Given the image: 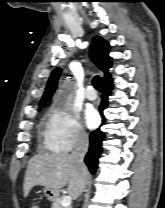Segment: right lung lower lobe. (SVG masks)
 Instances as JSON below:
<instances>
[{"mask_svg": "<svg viewBox=\"0 0 165 208\" xmlns=\"http://www.w3.org/2000/svg\"><path fill=\"white\" fill-rule=\"evenodd\" d=\"M102 87H103V94H102V101L99 107V111L101 113V116L103 117V123H102L103 125L105 123L103 110L108 105V96L111 94V90L113 87L111 78L105 81L104 83H102ZM104 138H105V134L100 129H97L90 134V146H89V151L85 157V163L87 164L89 170L92 173H95L97 169L98 159L102 152V141L104 140Z\"/></svg>", "mask_w": 165, "mask_h": 208, "instance_id": "98d812e1", "label": "right lung lower lobe"}]
</instances>
